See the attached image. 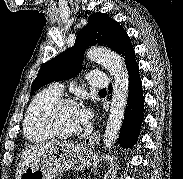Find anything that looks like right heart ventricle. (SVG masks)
<instances>
[{"instance_id": "e07e8e85", "label": "right heart ventricle", "mask_w": 183, "mask_h": 179, "mask_svg": "<svg viewBox=\"0 0 183 179\" xmlns=\"http://www.w3.org/2000/svg\"><path fill=\"white\" fill-rule=\"evenodd\" d=\"M60 96L52 88H47L33 98L24 120V133L29 140L43 142L53 137L45 125V116L49 107Z\"/></svg>"}]
</instances>
